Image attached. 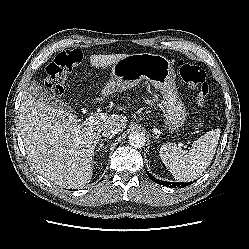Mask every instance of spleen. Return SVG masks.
Wrapping results in <instances>:
<instances>
[{"label": "spleen", "mask_w": 249, "mask_h": 249, "mask_svg": "<svg viewBox=\"0 0 249 249\" xmlns=\"http://www.w3.org/2000/svg\"><path fill=\"white\" fill-rule=\"evenodd\" d=\"M220 137V130L206 132L192 143L188 150L181 144L167 143L160 148V158L170 173L179 181L200 177L210 165Z\"/></svg>", "instance_id": "3e777b00"}]
</instances>
